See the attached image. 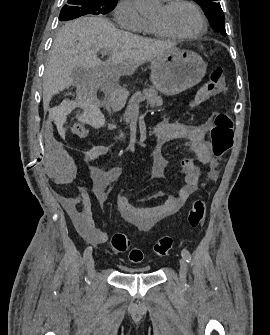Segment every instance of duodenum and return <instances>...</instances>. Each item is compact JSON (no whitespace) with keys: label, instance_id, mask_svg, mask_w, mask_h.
I'll list each match as a JSON object with an SVG mask.
<instances>
[{"label":"duodenum","instance_id":"410a0bca","mask_svg":"<svg viewBox=\"0 0 270 335\" xmlns=\"http://www.w3.org/2000/svg\"><path fill=\"white\" fill-rule=\"evenodd\" d=\"M103 89L106 95V108L113 112L120 110L125 100L121 88L114 81L106 80Z\"/></svg>","mask_w":270,"mask_h":335}]
</instances>
